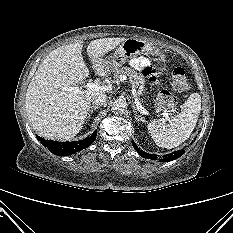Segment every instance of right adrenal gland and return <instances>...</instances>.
<instances>
[{"mask_svg":"<svg viewBox=\"0 0 233 233\" xmlns=\"http://www.w3.org/2000/svg\"><path fill=\"white\" fill-rule=\"evenodd\" d=\"M100 107L99 106H91V107H89V109H88V115H87V119H90L91 118V114L93 113V111L94 110H96V109H99Z\"/></svg>","mask_w":233,"mask_h":233,"instance_id":"right-adrenal-gland-1","label":"right adrenal gland"}]
</instances>
